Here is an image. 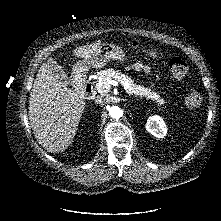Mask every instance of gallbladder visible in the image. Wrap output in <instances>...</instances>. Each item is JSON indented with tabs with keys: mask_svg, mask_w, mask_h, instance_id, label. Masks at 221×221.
Here are the masks:
<instances>
[{
	"mask_svg": "<svg viewBox=\"0 0 221 221\" xmlns=\"http://www.w3.org/2000/svg\"><path fill=\"white\" fill-rule=\"evenodd\" d=\"M50 68L52 69L54 74L56 76H58V80L61 83L66 84V85L70 84V80H69L68 76L64 73L62 68L57 63H51L50 64Z\"/></svg>",
	"mask_w": 221,
	"mask_h": 221,
	"instance_id": "1",
	"label": "gallbladder"
}]
</instances>
